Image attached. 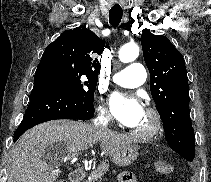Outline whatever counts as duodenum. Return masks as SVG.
I'll return each instance as SVG.
<instances>
[{
    "label": "duodenum",
    "mask_w": 211,
    "mask_h": 182,
    "mask_svg": "<svg viewBox=\"0 0 211 182\" xmlns=\"http://www.w3.org/2000/svg\"><path fill=\"white\" fill-rule=\"evenodd\" d=\"M84 178V171L82 169H75L70 173V182H82Z\"/></svg>",
    "instance_id": "obj_1"
}]
</instances>
